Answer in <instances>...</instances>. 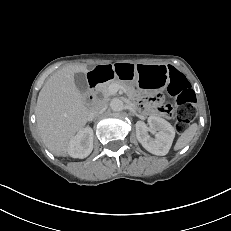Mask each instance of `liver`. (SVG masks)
Masks as SVG:
<instances>
[{
  "instance_id": "liver-1",
  "label": "liver",
  "mask_w": 231,
  "mask_h": 231,
  "mask_svg": "<svg viewBox=\"0 0 231 231\" xmlns=\"http://www.w3.org/2000/svg\"><path fill=\"white\" fill-rule=\"evenodd\" d=\"M86 64L69 65L52 74L43 85L36 105L41 139L56 156H67L69 142L88 121L89 110L74 82Z\"/></svg>"
}]
</instances>
